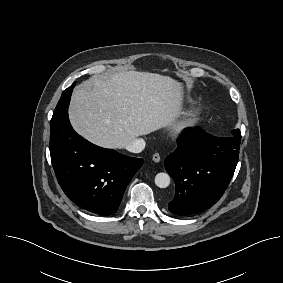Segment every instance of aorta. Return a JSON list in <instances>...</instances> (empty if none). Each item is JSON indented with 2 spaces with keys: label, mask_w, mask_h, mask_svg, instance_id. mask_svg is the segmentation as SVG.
<instances>
[{
  "label": "aorta",
  "mask_w": 283,
  "mask_h": 283,
  "mask_svg": "<svg viewBox=\"0 0 283 283\" xmlns=\"http://www.w3.org/2000/svg\"><path fill=\"white\" fill-rule=\"evenodd\" d=\"M155 184L159 187V188H166L169 186L170 184V176L167 173H158L155 176Z\"/></svg>",
  "instance_id": "762f6f07"
}]
</instances>
